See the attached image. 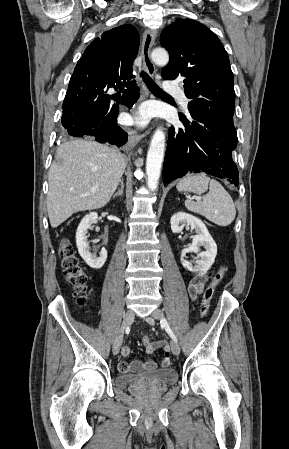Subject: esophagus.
<instances>
[{
    "mask_svg": "<svg viewBox=\"0 0 289 449\" xmlns=\"http://www.w3.org/2000/svg\"><path fill=\"white\" fill-rule=\"evenodd\" d=\"M156 38V31L152 30V29H147L144 32L143 35V42H142V46H141V55L143 58V63L145 66V69L148 73L149 76H154L155 74V65L151 60V48L154 44ZM142 87L144 90V95H143V99L148 97V90L147 87L144 83H142ZM142 136L140 135V133L135 130V129H130L129 130V140H128V147L129 148H133L137 145V143L141 140Z\"/></svg>",
    "mask_w": 289,
    "mask_h": 449,
    "instance_id": "esophagus-1",
    "label": "esophagus"
}]
</instances>
